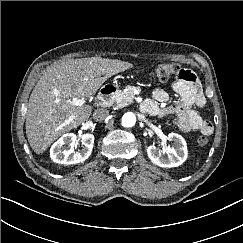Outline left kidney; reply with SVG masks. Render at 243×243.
I'll return each mask as SVG.
<instances>
[{"label":"left kidney","instance_id":"obj_1","mask_svg":"<svg viewBox=\"0 0 243 243\" xmlns=\"http://www.w3.org/2000/svg\"><path fill=\"white\" fill-rule=\"evenodd\" d=\"M168 140L173 141L175 145L166 148L167 156H164V152L158 150L154 145L147 148L149 159L162 168L177 167L187 159L188 151L185 139L177 133H170Z\"/></svg>","mask_w":243,"mask_h":243}]
</instances>
